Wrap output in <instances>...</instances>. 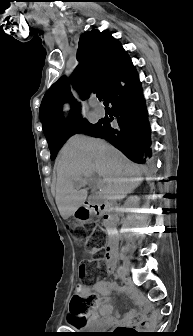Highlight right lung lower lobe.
I'll return each mask as SVG.
<instances>
[{
	"label": "right lung lower lobe",
	"mask_w": 193,
	"mask_h": 336,
	"mask_svg": "<svg viewBox=\"0 0 193 336\" xmlns=\"http://www.w3.org/2000/svg\"><path fill=\"white\" fill-rule=\"evenodd\" d=\"M104 101L106 105L112 104L118 126H110L114 119L110 117L101 120V126L90 135L109 141L130 160L145 163L151 157L150 127L138 76L131 62L114 82Z\"/></svg>",
	"instance_id": "1"
}]
</instances>
